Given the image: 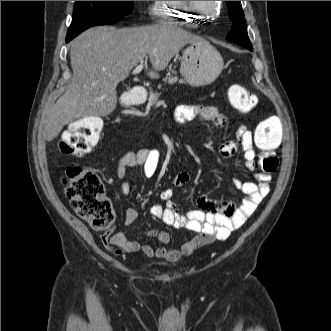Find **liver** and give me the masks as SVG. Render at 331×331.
Returning <instances> with one entry per match:
<instances>
[{
  "label": "liver",
  "mask_w": 331,
  "mask_h": 331,
  "mask_svg": "<svg viewBox=\"0 0 331 331\" xmlns=\"http://www.w3.org/2000/svg\"><path fill=\"white\" fill-rule=\"evenodd\" d=\"M200 40L168 22L121 29L97 26L84 31L70 44L71 82L42 122L46 140L52 141L74 119L112 113L117 85L145 57L149 56L154 69L148 75L158 78L157 72L186 44Z\"/></svg>",
  "instance_id": "6515ba94"
}]
</instances>
